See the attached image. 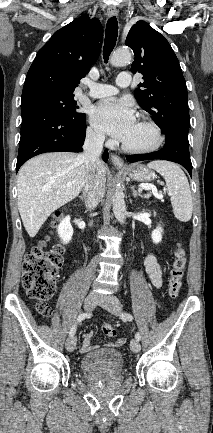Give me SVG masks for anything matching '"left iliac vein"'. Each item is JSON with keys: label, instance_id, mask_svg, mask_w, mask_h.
I'll return each mask as SVG.
<instances>
[{"label": "left iliac vein", "instance_id": "obj_1", "mask_svg": "<svg viewBox=\"0 0 213 433\" xmlns=\"http://www.w3.org/2000/svg\"><path fill=\"white\" fill-rule=\"evenodd\" d=\"M98 304L102 308L111 312L112 314H115L118 316L121 314L122 304H121L120 300L115 296H111V295L102 296V297H100ZM130 348L134 353H138L141 349V345L139 343V340L132 339L130 342Z\"/></svg>", "mask_w": 213, "mask_h": 433}]
</instances>
